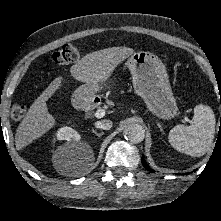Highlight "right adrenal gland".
<instances>
[{"mask_svg":"<svg viewBox=\"0 0 221 221\" xmlns=\"http://www.w3.org/2000/svg\"><path fill=\"white\" fill-rule=\"evenodd\" d=\"M92 132L97 135L98 137H101L103 135V132L98 133L97 131H95L94 129L92 130Z\"/></svg>","mask_w":221,"mask_h":221,"instance_id":"obj_1","label":"right adrenal gland"}]
</instances>
